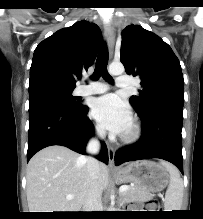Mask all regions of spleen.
Instances as JSON below:
<instances>
[{"label": "spleen", "mask_w": 203, "mask_h": 219, "mask_svg": "<svg viewBox=\"0 0 203 219\" xmlns=\"http://www.w3.org/2000/svg\"><path fill=\"white\" fill-rule=\"evenodd\" d=\"M160 164L169 172L170 181L165 194L166 211L181 210L183 198V182L180 173L172 164L161 161Z\"/></svg>", "instance_id": "obj_1"}]
</instances>
